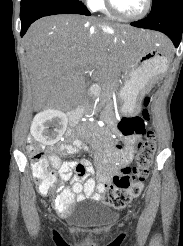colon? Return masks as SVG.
<instances>
[{
	"mask_svg": "<svg viewBox=\"0 0 183 246\" xmlns=\"http://www.w3.org/2000/svg\"><path fill=\"white\" fill-rule=\"evenodd\" d=\"M150 98L144 100V109L140 116H124L118 124V129L125 136L133 134H145L146 138L138 144L136 164L126 166L120 170L107 184L102 201L115 209L126 207L134 198L138 197L143 188V182L148 176L156 151L154 133L148 128L151 115L148 109ZM118 152L122 151L121 144L116 143ZM28 151L31 157L33 174L39 184L40 191L51 192L56 181L53 172L49 171L48 163L43 153L34 144H30ZM54 205L58 211H64L73 206L69 198L58 195L54 199Z\"/></svg>",
	"mask_w": 183,
	"mask_h": 246,
	"instance_id": "obj_1",
	"label": "colon"
}]
</instances>
